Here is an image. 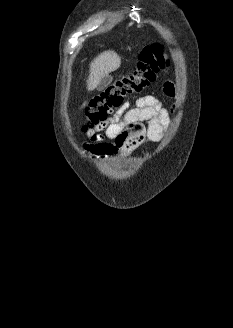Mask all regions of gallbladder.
<instances>
[{
	"label": "gallbladder",
	"instance_id": "1",
	"mask_svg": "<svg viewBox=\"0 0 233 328\" xmlns=\"http://www.w3.org/2000/svg\"><path fill=\"white\" fill-rule=\"evenodd\" d=\"M112 76L111 75H104L101 79H100V81H99V84H98V86H97V89L99 90V91H102V90H104V89H106L109 85H110V83L112 82Z\"/></svg>",
	"mask_w": 233,
	"mask_h": 328
}]
</instances>
